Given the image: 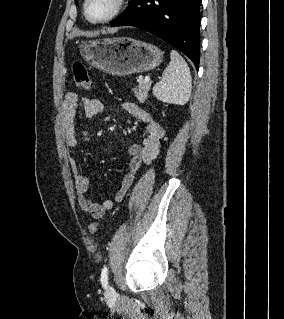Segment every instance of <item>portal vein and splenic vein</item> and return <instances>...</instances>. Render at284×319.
Instances as JSON below:
<instances>
[{
    "instance_id": "obj_1",
    "label": "portal vein and splenic vein",
    "mask_w": 284,
    "mask_h": 319,
    "mask_svg": "<svg viewBox=\"0 0 284 319\" xmlns=\"http://www.w3.org/2000/svg\"><path fill=\"white\" fill-rule=\"evenodd\" d=\"M144 81H145V82H150V77H149V76H146L145 79H144Z\"/></svg>"
}]
</instances>
